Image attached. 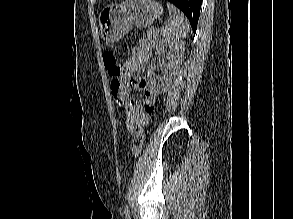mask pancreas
I'll return each mask as SVG.
<instances>
[{
  "label": "pancreas",
  "instance_id": "cf45deb5",
  "mask_svg": "<svg viewBox=\"0 0 293 219\" xmlns=\"http://www.w3.org/2000/svg\"><path fill=\"white\" fill-rule=\"evenodd\" d=\"M147 37L149 41L155 45L156 42L158 41V31L155 30L154 28H150L147 32Z\"/></svg>",
  "mask_w": 293,
  "mask_h": 219
}]
</instances>
